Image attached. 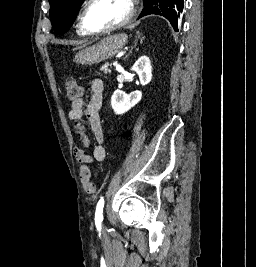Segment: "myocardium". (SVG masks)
Returning <instances> with one entry per match:
<instances>
[{
	"instance_id": "obj_1",
	"label": "myocardium",
	"mask_w": 256,
	"mask_h": 267,
	"mask_svg": "<svg viewBox=\"0 0 256 267\" xmlns=\"http://www.w3.org/2000/svg\"><path fill=\"white\" fill-rule=\"evenodd\" d=\"M95 1H97V0H89L86 3L85 8L82 11H80V13H79L80 27L88 35H104V34H108L110 32H113L115 30H118V29L126 26L128 23H130L133 15H134V7L128 0H115L116 2L123 4L127 8V16L125 17V19H123L122 21H120V22H118V23H116V24H114V25H112L106 29H101V30L92 29L86 24L85 10L91 3L95 2Z\"/></svg>"
}]
</instances>
